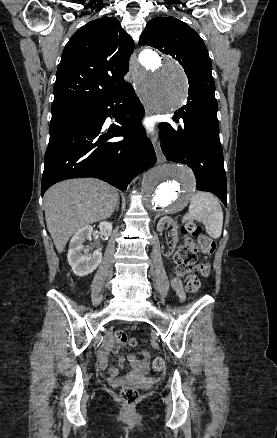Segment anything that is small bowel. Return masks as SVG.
<instances>
[{
	"label": "small bowel",
	"instance_id": "c3829d8e",
	"mask_svg": "<svg viewBox=\"0 0 277 438\" xmlns=\"http://www.w3.org/2000/svg\"><path fill=\"white\" fill-rule=\"evenodd\" d=\"M171 282H172V286L175 289V291L177 292L178 296L182 299L184 297V293L182 290L181 281L178 278L173 277ZM108 335L109 336H107V338H106L107 342L104 343V348H102L100 350V354H99V360H100L99 365L102 368L107 367L108 362L105 359H106V357H110L112 355L111 351L122 350L125 347L124 342L116 341V338H115V336L112 335V332H108ZM149 358H150V354L146 350H144L142 352V359L141 360L137 359L133 355L129 356V360H130L131 364L139 373H144L146 371ZM118 360L120 363H123L124 357L119 356ZM108 377L113 381H117L118 380L117 371L115 369H111L108 372Z\"/></svg>",
	"mask_w": 277,
	"mask_h": 438
}]
</instances>
